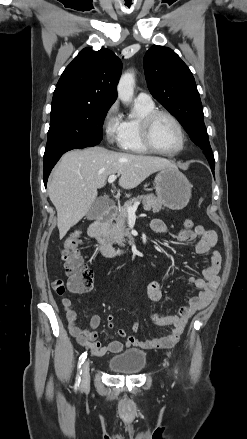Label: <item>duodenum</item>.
<instances>
[{
	"instance_id": "410a0bca",
	"label": "duodenum",
	"mask_w": 247,
	"mask_h": 439,
	"mask_svg": "<svg viewBox=\"0 0 247 439\" xmlns=\"http://www.w3.org/2000/svg\"><path fill=\"white\" fill-rule=\"evenodd\" d=\"M115 205L109 206L102 214H100L89 226V236L94 238L103 256L107 258L114 257L124 252L123 249H116L112 246L106 233L107 225L112 221L116 214Z\"/></svg>"
}]
</instances>
